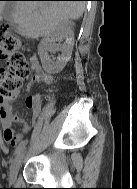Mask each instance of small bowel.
I'll return each mask as SVG.
<instances>
[{"instance_id": "small-bowel-1", "label": "small bowel", "mask_w": 137, "mask_h": 189, "mask_svg": "<svg viewBox=\"0 0 137 189\" xmlns=\"http://www.w3.org/2000/svg\"><path fill=\"white\" fill-rule=\"evenodd\" d=\"M34 76L32 82L42 81L47 85H52L54 83V77L52 74L47 73L38 64L34 66ZM33 103L31 106L27 107L31 112L30 122L25 121L23 118L12 112L11 104L9 101L0 104V118L3 128V137L5 141L12 147L18 148L25 143V133L34 125L41 110V96L35 95L32 97ZM16 124H20V128H15Z\"/></svg>"}]
</instances>
